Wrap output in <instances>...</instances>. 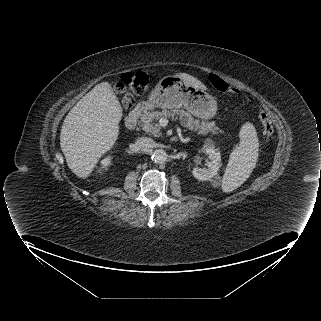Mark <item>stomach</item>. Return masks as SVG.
<instances>
[{"mask_svg": "<svg viewBox=\"0 0 321 321\" xmlns=\"http://www.w3.org/2000/svg\"><path fill=\"white\" fill-rule=\"evenodd\" d=\"M148 103L152 107L168 109L183 106L201 119H211L217 113V102L213 96L176 75L163 77L149 96Z\"/></svg>", "mask_w": 321, "mask_h": 321, "instance_id": "1", "label": "stomach"}]
</instances>
